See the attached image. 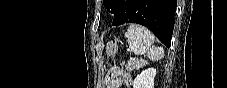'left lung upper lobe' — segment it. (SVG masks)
<instances>
[{
    "label": "left lung upper lobe",
    "instance_id": "5c2ea615",
    "mask_svg": "<svg viewBox=\"0 0 227 88\" xmlns=\"http://www.w3.org/2000/svg\"><path fill=\"white\" fill-rule=\"evenodd\" d=\"M118 2L119 0H103L104 6L112 14L115 13Z\"/></svg>",
    "mask_w": 227,
    "mask_h": 88
}]
</instances>
